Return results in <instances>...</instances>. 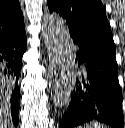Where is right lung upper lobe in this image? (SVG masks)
<instances>
[{
    "mask_svg": "<svg viewBox=\"0 0 125 128\" xmlns=\"http://www.w3.org/2000/svg\"><path fill=\"white\" fill-rule=\"evenodd\" d=\"M25 29L18 0H0V40Z\"/></svg>",
    "mask_w": 125,
    "mask_h": 128,
    "instance_id": "1",
    "label": "right lung upper lobe"
}]
</instances>
